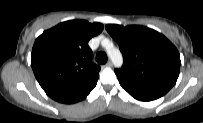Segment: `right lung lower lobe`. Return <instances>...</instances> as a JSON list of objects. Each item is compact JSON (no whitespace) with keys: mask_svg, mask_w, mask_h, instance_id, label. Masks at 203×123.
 Here are the masks:
<instances>
[{"mask_svg":"<svg viewBox=\"0 0 203 123\" xmlns=\"http://www.w3.org/2000/svg\"><path fill=\"white\" fill-rule=\"evenodd\" d=\"M96 83H93L87 87L80 88V89H72V90H65L60 92H55L49 94V96L54 99L55 101H58L60 103H76L78 101L83 100L90 92L91 90L96 86Z\"/></svg>","mask_w":203,"mask_h":123,"instance_id":"right-lung-lower-lobe-1","label":"right lung lower lobe"}]
</instances>
